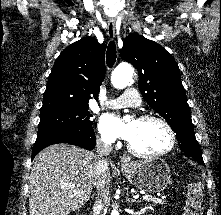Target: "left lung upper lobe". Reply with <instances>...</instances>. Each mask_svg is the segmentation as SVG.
I'll return each instance as SVG.
<instances>
[{
	"label": "left lung upper lobe",
	"mask_w": 221,
	"mask_h": 215,
	"mask_svg": "<svg viewBox=\"0 0 221 215\" xmlns=\"http://www.w3.org/2000/svg\"><path fill=\"white\" fill-rule=\"evenodd\" d=\"M120 54L137 69L144 100L172 127L181 151L201 155L174 58L159 44L138 34L125 38Z\"/></svg>",
	"instance_id": "5c2ea615"
}]
</instances>
